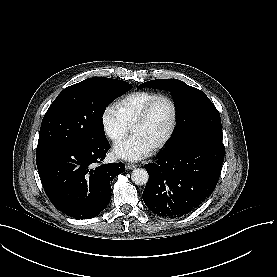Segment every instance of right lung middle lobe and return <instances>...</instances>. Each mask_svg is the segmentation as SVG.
<instances>
[{"mask_svg": "<svg viewBox=\"0 0 277 277\" xmlns=\"http://www.w3.org/2000/svg\"><path fill=\"white\" fill-rule=\"evenodd\" d=\"M129 89L128 85L103 79L88 80L65 88L42 120L38 147L104 139L103 111Z\"/></svg>", "mask_w": 277, "mask_h": 277, "instance_id": "right-lung-middle-lobe-1", "label": "right lung middle lobe"}]
</instances>
